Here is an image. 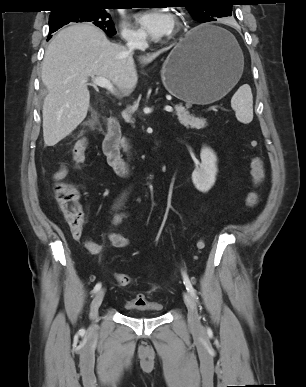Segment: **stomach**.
Segmentation results:
<instances>
[{"instance_id":"1","label":"stomach","mask_w":306,"mask_h":387,"mask_svg":"<svg viewBox=\"0 0 306 387\" xmlns=\"http://www.w3.org/2000/svg\"><path fill=\"white\" fill-rule=\"evenodd\" d=\"M244 57L235 38L221 27L192 29L163 63L161 78L175 97L190 104L223 98L239 81Z\"/></svg>"}]
</instances>
